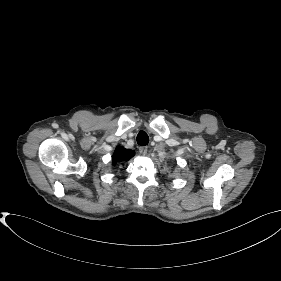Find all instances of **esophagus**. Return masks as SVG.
<instances>
[{"label":"esophagus","instance_id":"34e87169","mask_svg":"<svg viewBox=\"0 0 281 281\" xmlns=\"http://www.w3.org/2000/svg\"><path fill=\"white\" fill-rule=\"evenodd\" d=\"M147 151H148V148L146 146L139 147V152L141 155H143V156L146 155Z\"/></svg>","mask_w":281,"mask_h":281}]
</instances>
